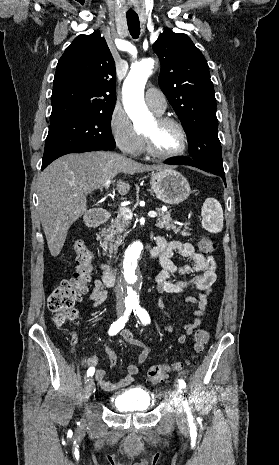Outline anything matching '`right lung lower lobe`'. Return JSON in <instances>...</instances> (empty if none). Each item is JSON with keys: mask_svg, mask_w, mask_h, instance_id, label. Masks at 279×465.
<instances>
[{"mask_svg": "<svg viewBox=\"0 0 279 465\" xmlns=\"http://www.w3.org/2000/svg\"><path fill=\"white\" fill-rule=\"evenodd\" d=\"M114 149V146L112 147H107V146H88V147H84L82 148L81 150L78 151V153H81V152H90V151H97V150H112ZM47 167V165H43L42 164V170Z\"/></svg>", "mask_w": 279, "mask_h": 465, "instance_id": "1", "label": "right lung lower lobe"}]
</instances>
